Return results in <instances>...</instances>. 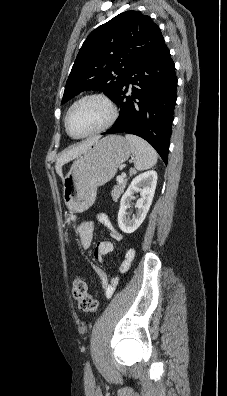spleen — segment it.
<instances>
[{"instance_id":"1","label":"spleen","mask_w":227,"mask_h":396,"mask_svg":"<svg viewBox=\"0 0 227 396\" xmlns=\"http://www.w3.org/2000/svg\"><path fill=\"white\" fill-rule=\"evenodd\" d=\"M125 138L135 157L134 166L137 170L149 169L157 163V153L148 142L131 134H126Z\"/></svg>"}]
</instances>
